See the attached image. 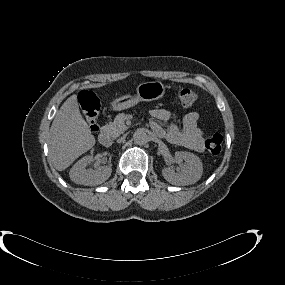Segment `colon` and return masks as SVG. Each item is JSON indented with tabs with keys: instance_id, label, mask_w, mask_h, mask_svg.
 Listing matches in <instances>:
<instances>
[{
	"instance_id": "colon-1",
	"label": "colon",
	"mask_w": 285,
	"mask_h": 285,
	"mask_svg": "<svg viewBox=\"0 0 285 285\" xmlns=\"http://www.w3.org/2000/svg\"><path fill=\"white\" fill-rule=\"evenodd\" d=\"M176 95L180 105L184 107L194 105L199 99L198 93L190 88H181ZM78 100L90 130L96 132L98 130V98L90 91H82ZM222 142V136L214 134L207 139L206 148L211 154H218L222 149Z\"/></svg>"
}]
</instances>
